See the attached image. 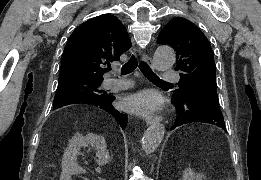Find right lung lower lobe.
<instances>
[{"label": "right lung lower lobe", "instance_id": "right-lung-lower-lobe-1", "mask_svg": "<svg viewBox=\"0 0 261 180\" xmlns=\"http://www.w3.org/2000/svg\"><path fill=\"white\" fill-rule=\"evenodd\" d=\"M115 100L114 97L109 96L107 94H103L101 97L96 99H89L86 97H77L70 99L63 103L60 107L73 104V103H84V104H91L95 106H99L100 108L106 110L111 115L115 117V119L118 121L122 129H125V126L127 124L128 118L126 115L119 113L114 107L112 106V102Z\"/></svg>", "mask_w": 261, "mask_h": 180}]
</instances>
